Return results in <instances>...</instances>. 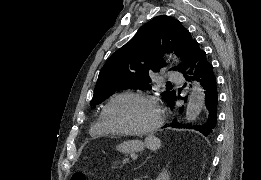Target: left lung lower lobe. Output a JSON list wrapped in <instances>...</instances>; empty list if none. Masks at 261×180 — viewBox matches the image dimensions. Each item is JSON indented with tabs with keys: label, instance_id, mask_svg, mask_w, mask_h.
I'll return each instance as SVG.
<instances>
[{
	"label": "left lung lower lobe",
	"instance_id": "obj_1",
	"mask_svg": "<svg viewBox=\"0 0 261 180\" xmlns=\"http://www.w3.org/2000/svg\"><path fill=\"white\" fill-rule=\"evenodd\" d=\"M189 68V69H188ZM187 81L197 80L201 83L205 94V105L207 109V119L202 125H189L182 124L174 119L167 126L172 128H190L201 132L205 136H209L213 133L217 124L218 116V92H217V82L216 77L213 72V66L208 62L206 58V53L202 51L198 43L194 46L192 53L181 70ZM186 85V84H185ZM184 85V86H185ZM184 99V98H182ZM176 101V96L168 104L170 107L174 108ZM186 101V99H185ZM183 106L179 108L181 112Z\"/></svg>",
	"mask_w": 261,
	"mask_h": 180
}]
</instances>
